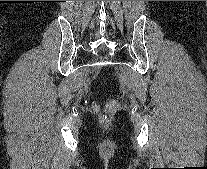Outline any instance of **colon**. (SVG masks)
I'll use <instances>...</instances> for the list:
<instances>
[{
    "mask_svg": "<svg viewBox=\"0 0 207 169\" xmlns=\"http://www.w3.org/2000/svg\"><path fill=\"white\" fill-rule=\"evenodd\" d=\"M118 107V103L116 101H110L108 104H107V109L109 111H114L116 110Z\"/></svg>",
    "mask_w": 207,
    "mask_h": 169,
    "instance_id": "1",
    "label": "colon"
}]
</instances>
